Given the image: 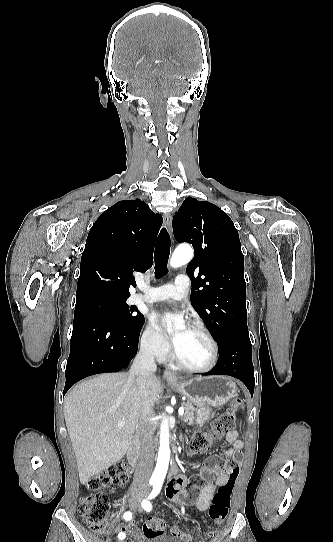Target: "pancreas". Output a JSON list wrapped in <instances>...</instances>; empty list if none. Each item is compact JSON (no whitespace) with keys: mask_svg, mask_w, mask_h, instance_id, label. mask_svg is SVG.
I'll use <instances>...</instances> for the list:
<instances>
[{"mask_svg":"<svg viewBox=\"0 0 333 542\" xmlns=\"http://www.w3.org/2000/svg\"><path fill=\"white\" fill-rule=\"evenodd\" d=\"M181 408H184L185 410V414L181 416V420H183V422H187V424H190V426H192V424H194L195 422L196 412L193 404H190V402H182Z\"/></svg>","mask_w":333,"mask_h":542,"instance_id":"pancreas-1","label":"pancreas"}]
</instances>
